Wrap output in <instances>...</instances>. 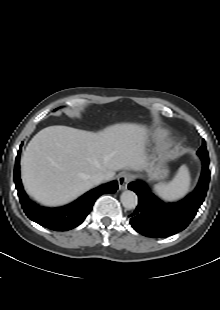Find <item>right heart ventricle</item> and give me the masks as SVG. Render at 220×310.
I'll list each match as a JSON object with an SVG mask.
<instances>
[{
    "label": "right heart ventricle",
    "mask_w": 220,
    "mask_h": 310,
    "mask_svg": "<svg viewBox=\"0 0 220 310\" xmlns=\"http://www.w3.org/2000/svg\"><path fill=\"white\" fill-rule=\"evenodd\" d=\"M158 136H159V137H161V136H162V134H159Z\"/></svg>",
    "instance_id": "right-heart-ventricle-1"
}]
</instances>
